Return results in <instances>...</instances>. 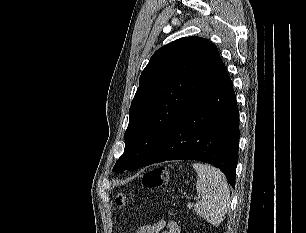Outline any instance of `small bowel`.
<instances>
[{"instance_id":"obj_1","label":"small bowel","mask_w":306,"mask_h":233,"mask_svg":"<svg viewBox=\"0 0 306 233\" xmlns=\"http://www.w3.org/2000/svg\"><path fill=\"white\" fill-rule=\"evenodd\" d=\"M136 233H180V227L173 221L158 220L155 223L140 226Z\"/></svg>"}]
</instances>
